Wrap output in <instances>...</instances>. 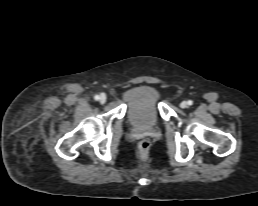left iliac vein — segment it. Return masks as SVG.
<instances>
[{
  "label": "left iliac vein",
  "mask_w": 258,
  "mask_h": 206,
  "mask_svg": "<svg viewBox=\"0 0 258 206\" xmlns=\"http://www.w3.org/2000/svg\"><path fill=\"white\" fill-rule=\"evenodd\" d=\"M188 106V103L186 102V101H182L181 103H180V107L181 108H186Z\"/></svg>",
  "instance_id": "1"
}]
</instances>
